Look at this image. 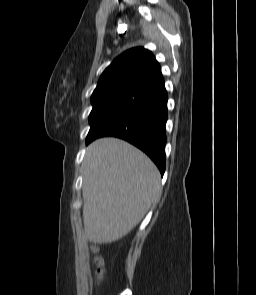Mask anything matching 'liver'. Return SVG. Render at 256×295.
<instances>
[{
  "instance_id": "1",
  "label": "liver",
  "mask_w": 256,
  "mask_h": 295,
  "mask_svg": "<svg viewBox=\"0 0 256 295\" xmlns=\"http://www.w3.org/2000/svg\"><path fill=\"white\" fill-rule=\"evenodd\" d=\"M82 175L84 235L94 244L123 238L160 197L155 164L117 138H101L88 146Z\"/></svg>"
}]
</instances>
